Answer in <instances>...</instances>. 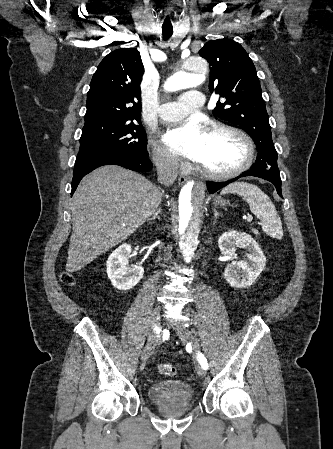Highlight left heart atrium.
<instances>
[{
	"instance_id": "39dd6f15",
	"label": "left heart atrium",
	"mask_w": 333,
	"mask_h": 449,
	"mask_svg": "<svg viewBox=\"0 0 333 449\" xmlns=\"http://www.w3.org/2000/svg\"><path fill=\"white\" fill-rule=\"evenodd\" d=\"M206 132L194 120L168 130L164 143L175 153L197 161L205 140Z\"/></svg>"
}]
</instances>
